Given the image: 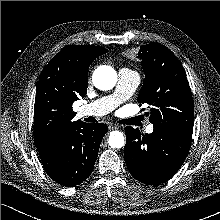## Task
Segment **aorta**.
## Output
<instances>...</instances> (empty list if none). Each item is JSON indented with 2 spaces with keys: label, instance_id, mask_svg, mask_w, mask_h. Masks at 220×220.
<instances>
[{
  "label": "aorta",
  "instance_id": "1",
  "mask_svg": "<svg viewBox=\"0 0 220 220\" xmlns=\"http://www.w3.org/2000/svg\"><path fill=\"white\" fill-rule=\"evenodd\" d=\"M92 80L96 88L103 91L110 90L117 83V73L112 67L103 65L94 71ZM108 143L111 148H122L125 144L123 133L120 131L110 132Z\"/></svg>",
  "mask_w": 220,
  "mask_h": 220
}]
</instances>
